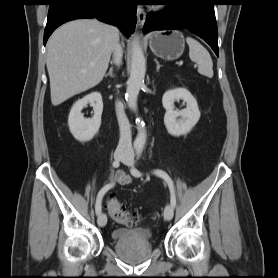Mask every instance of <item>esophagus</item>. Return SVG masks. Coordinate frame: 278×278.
<instances>
[{"label":"esophagus","instance_id":"34e87169","mask_svg":"<svg viewBox=\"0 0 278 278\" xmlns=\"http://www.w3.org/2000/svg\"><path fill=\"white\" fill-rule=\"evenodd\" d=\"M137 19H138L139 26L142 27L145 23L146 12H145L144 8L141 6L137 7Z\"/></svg>","mask_w":278,"mask_h":278}]
</instances>
